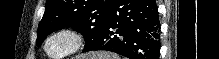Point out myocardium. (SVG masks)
<instances>
[{
    "label": "myocardium",
    "instance_id": "f54148a6",
    "mask_svg": "<svg viewBox=\"0 0 219 59\" xmlns=\"http://www.w3.org/2000/svg\"><path fill=\"white\" fill-rule=\"evenodd\" d=\"M58 37H65L70 41L69 48L62 54H53L48 50L49 43ZM85 38L83 34L74 28L63 27L49 33L42 44L44 54L50 59H66L78 53L84 46Z\"/></svg>",
    "mask_w": 219,
    "mask_h": 59
}]
</instances>
